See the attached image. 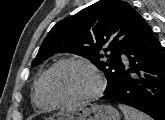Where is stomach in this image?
Listing matches in <instances>:
<instances>
[{
	"label": "stomach",
	"instance_id": "1",
	"mask_svg": "<svg viewBox=\"0 0 165 120\" xmlns=\"http://www.w3.org/2000/svg\"><path fill=\"white\" fill-rule=\"evenodd\" d=\"M49 119L50 120H120V115L118 111L110 105L80 103L71 109L55 113Z\"/></svg>",
	"mask_w": 165,
	"mask_h": 120
}]
</instances>
